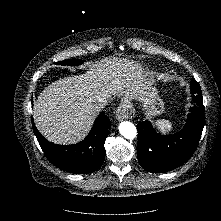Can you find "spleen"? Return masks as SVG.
<instances>
[{
	"label": "spleen",
	"mask_w": 221,
	"mask_h": 221,
	"mask_svg": "<svg viewBox=\"0 0 221 221\" xmlns=\"http://www.w3.org/2000/svg\"><path fill=\"white\" fill-rule=\"evenodd\" d=\"M155 125L162 133L169 132L173 128L172 123L169 120L165 119L157 120L155 122Z\"/></svg>",
	"instance_id": "spleen-1"
}]
</instances>
